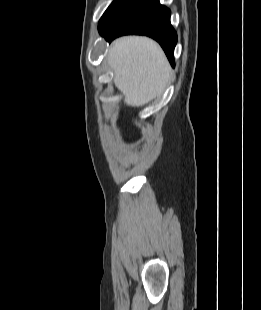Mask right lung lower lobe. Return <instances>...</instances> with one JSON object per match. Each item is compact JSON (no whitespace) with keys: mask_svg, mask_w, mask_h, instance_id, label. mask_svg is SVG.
Here are the masks:
<instances>
[{"mask_svg":"<svg viewBox=\"0 0 261 310\" xmlns=\"http://www.w3.org/2000/svg\"><path fill=\"white\" fill-rule=\"evenodd\" d=\"M108 41L126 34L152 37L159 42L174 66V48L177 34L170 23V10L159 0H131L105 26L99 28Z\"/></svg>","mask_w":261,"mask_h":310,"instance_id":"1","label":"right lung lower lobe"}]
</instances>
